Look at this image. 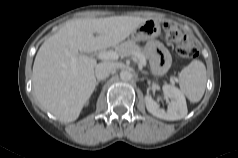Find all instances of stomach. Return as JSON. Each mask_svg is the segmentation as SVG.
<instances>
[{
  "label": "stomach",
  "mask_w": 238,
  "mask_h": 158,
  "mask_svg": "<svg viewBox=\"0 0 238 158\" xmlns=\"http://www.w3.org/2000/svg\"><path fill=\"white\" fill-rule=\"evenodd\" d=\"M160 33L159 22L154 19H147L131 33V38L133 41L149 40L158 37Z\"/></svg>",
  "instance_id": "stomach-1"
}]
</instances>
